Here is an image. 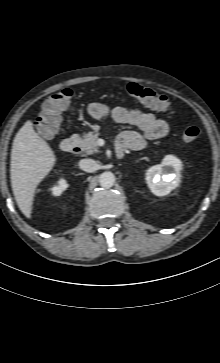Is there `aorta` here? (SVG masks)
I'll return each mask as SVG.
<instances>
[{
    "mask_svg": "<svg viewBox=\"0 0 220 363\" xmlns=\"http://www.w3.org/2000/svg\"><path fill=\"white\" fill-rule=\"evenodd\" d=\"M99 183L103 188H111L115 183V176L112 172L105 171L99 177Z\"/></svg>",
    "mask_w": 220,
    "mask_h": 363,
    "instance_id": "aorta-1",
    "label": "aorta"
}]
</instances>
